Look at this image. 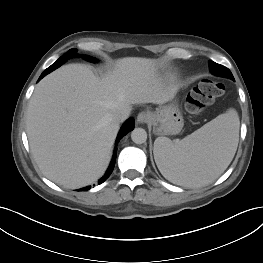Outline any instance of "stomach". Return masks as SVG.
I'll return each instance as SVG.
<instances>
[{
  "label": "stomach",
  "instance_id": "obj_1",
  "mask_svg": "<svg viewBox=\"0 0 263 263\" xmlns=\"http://www.w3.org/2000/svg\"><path fill=\"white\" fill-rule=\"evenodd\" d=\"M151 124L156 135L178 134L184 125L182 114L175 104H169L151 113Z\"/></svg>",
  "mask_w": 263,
  "mask_h": 263
}]
</instances>
